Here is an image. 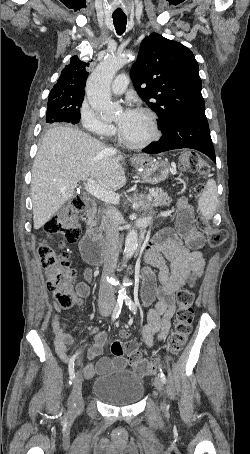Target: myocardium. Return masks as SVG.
Listing matches in <instances>:
<instances>
[{
  "label": "myocardium",
  "mask_w": 250,
  "mask_h": 454,
  "mask_svg": "<svg viewBox=\"0 0 250 454\" xmlns=\"http://www.w3.org/2000/svg\"><path fill=\"white\" fill-rule=\"evenodd\" d=\"M136 111L144 114L148 118L150 125H151V129H152L151 135L141 142H131L123 136L120 128L118 127L117 136H118V140L120 141V143H122L124 146H126L130 149H144V148L150 146L151 144H153L155 141H157L160 138V136H161L160 127H159L157 116L153 111H151L148 108H144V107H139V108H137Z\"/></svg>",
  "instance_id": "myocardium-1"
}]
</instances>
